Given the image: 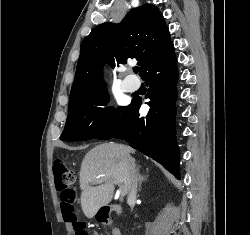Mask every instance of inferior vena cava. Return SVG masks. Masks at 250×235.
I'll return each instance as SVG.
<instances>
[{
	"instance_id": "obj_1",
	"label": "inferior vena cava",
	"mask_w": 250,
	"mask_h": 235,
	"mask_svg": "<svg viewBox=\"0 0 250 235\" xmlns=\"http://www.w3.org/2000/svg\"><path fill=\"white\" fill-rule=\"evenodd\" d=\"M137 182H138V176H137V173H136L135 165L132 164V166L130 168L128 201H133L136 198Z\"/></svg>"
}]
</instances>
